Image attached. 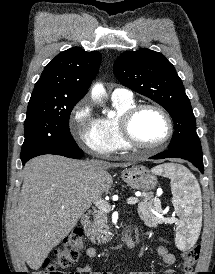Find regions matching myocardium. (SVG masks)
Masks as SVG:
<instances>
[{
	"label": "myocardium",
	"instance_id": "1",
	"mask_svg": "<svg viewBox=\"0 0 215 274\" xmlns=\"http://www.w3.org/2000/svg\"><path fill=\"white\" fill-rule=\"evenodd\" d=\"M145 109L155 110L162 115L167 124V133L162 140L154 144H143L133 135L132 123L138 113ZM119 131L124 143L133 149L156 150L166 145L174 134V124L169 113L159 105L151 103L134 104L128 108L119 118Z\"/></svg>",
	"mask_w": 215,
	"mask_h": 274
}]
</instances>
